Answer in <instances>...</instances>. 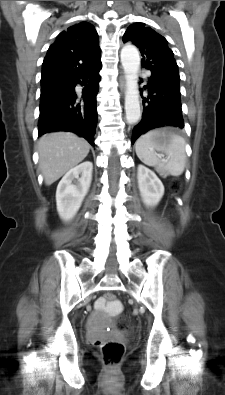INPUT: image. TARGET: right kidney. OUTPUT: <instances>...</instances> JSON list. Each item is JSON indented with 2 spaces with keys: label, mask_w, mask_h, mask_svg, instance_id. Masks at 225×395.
Wrapping results in <instances>:
<instances>
[{
  "label": "right kidney",
  "mask_w": 225,
  "mask_h": 395,
  "mask_svg": "<svg viewBox=\"0 0 225 395\" xmlns=\"http://www.w3.org/2000/svg\"><path fill=\"white\" fill-rule=\"evenodd\" d=\"M93 164L83 162L70 169L61 179L56 190L57 211L61 219H72L86 196L92 179Z\"/></svg>",
  "instance_id": "right-kidney-1"
}]
</instances>
